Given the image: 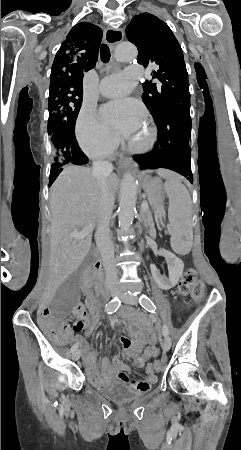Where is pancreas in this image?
<instances>
[{
	"instance_id": "cf45deb5",
	"label": "pancreas",
	"mask_w": 241,
	"mask_h": 450,
	"mask_svg": "<svg viewBox=\"0 0 241 450\" xmlns=\"http://www.w3.org/2000/svg\"><path fill=\"white\" fill-rule=\"evenodd\" d=\"M142 218H143V220H145V222H146V224L148 226V231L151 232V233L154 232L155 229H154V224L152 222L151 212H147L145 214V216L143 214ZM149 240L152 242L154 239L151 237ZM99 278H100V280H102L101 274H99Z\"/></svg>"
}]
</instances>
